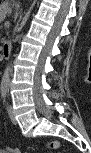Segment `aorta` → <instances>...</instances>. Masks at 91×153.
<instances>
[{
    "instance_id": "aorta-1",
    "label": "aorta",
    "mask_w": 91,
    "mask_h": 153,
    "mask_svg": "<svg viewBox=\"0 0 91 153\" xmlns=\"http://www.w3.org/2000/svg\"><path fill=\"white\" fill-rule=\"evenodd\" d=\"M10 72H11V65L8 64L7 67L4 70V74L2 76V81L1 83L5 86H7L9 84L10 81Z\"/></svg>"
}]
</instances>
